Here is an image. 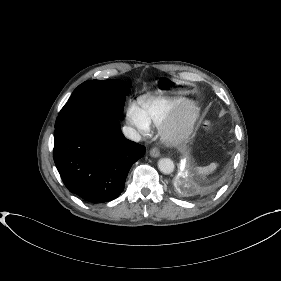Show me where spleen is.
<instances>
[{
  "mask_svg": "<svg viewBox=\"0 0 281 281\" xmlns=\"http://www.w3.org/2000/svg\"><path fill=\"white\" fill-rule=\"evenodd\" d=\"M216 167H217L216 163H211L210 165L205 167H197L196 171L201 175H206L213 172L216 169Z\"/></svg>",
  "mask_w": 281,
  "mask_h": 281,
  "instance_id": "3e777b00",
  "label": "spleen"
}]
</instances>
